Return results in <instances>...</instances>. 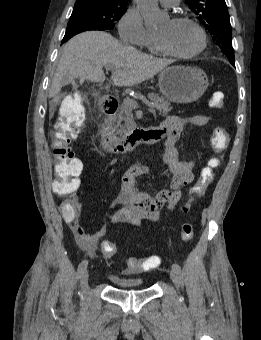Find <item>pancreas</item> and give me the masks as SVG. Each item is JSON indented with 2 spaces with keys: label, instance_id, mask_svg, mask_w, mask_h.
Wrapping results in <instances>:
<instances>
[{
  "label": "pancreas",
  "instance_id": "1",
  "mask_svg": "<svg viewBox=\"0 0 261 340\" xmlns=\"http://www.w3.org/2000/svg\"><path fill=\"white\" fill-rule=\"evenodd\" d=\"M148 98L155 104L160 115L166 116L168 112L172 110L170 102L159 94L150 93ZM116 119V134L120 137L128 135L136 126L132 115V108L127 105L125 100L121 105L120 112L117 114Z\"/></svg>",
  "mask_w": 261,
  "mask_h": 340
}]
</instances>
